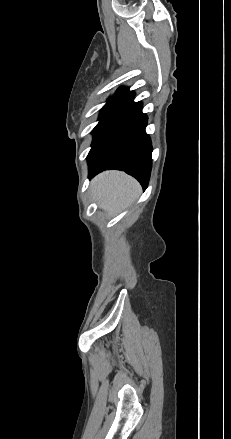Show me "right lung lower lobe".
<instances>
[{
  "label": "right lung lower lobe",
  "instance_id": "1",
  "mask_svg": "<svg viewBox=\"0 0 231 439\" xmlns=\"http://www.w3.org/2000/svg\"><path fill=\"white\" fill-rule=\"evenodd\" d=\"M142 109V103L137 102ZM147 116L119 127L109 134L87 156L89 178L108 169H118L135 177L145 190L152 167V145L145 132Z\"/></svg>",
  "mask_w": 231,
  "mask_h": 439
}]
</instances>
